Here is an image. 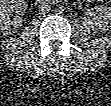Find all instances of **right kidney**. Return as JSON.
<instances>
[{
	"instance_id": "right-kidney-1",
	"label": "right kidney",
	"mask_w": 111,
	"mask_h": 106,
	"mask_svg": "<svg viewBox=\"0 0 111 106\" xmlns=\"http://www.w3.org/2000/svg\"><path fill=\"white\" fill-rule=\"evenodd\" d=\"M26 8L27 2L24 0H1L0 25L4 35L15 33L22 26V20L13 14L14 9L25 10Z\"/></svg>"
}]
</instances>
